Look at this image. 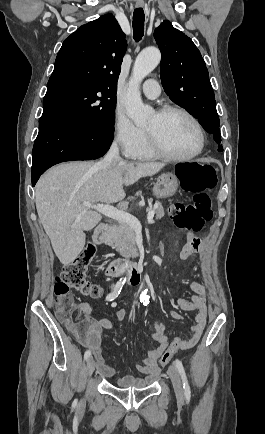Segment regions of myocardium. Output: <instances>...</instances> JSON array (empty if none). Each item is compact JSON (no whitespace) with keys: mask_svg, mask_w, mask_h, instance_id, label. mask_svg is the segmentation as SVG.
I'll return each mask as SVG.
<instances>
[{"mask_svg":"<svg viewBox=\"0 0 265 434\" xmlns=\"http://www.w3.org/2000/svg\"><path fill=\"white\" fill-rule=\"evenodd\" d=\"M171 112H179L184 114L195 126L198 135V145L197 148L190 154L187 155H175L166 150L159 142L157 134L154 131L146 129L150 146L156 156L163 158L168 161L174 162H185L190 161L198 157L205 148V133L200 121L186 108L179 105H166L158 110L157 116L159 118H164Z\"/></svg>","mask_w":265,"mask_h":434,"instance_id":"f54148a6","label":"myocardium"}]
</instances>
